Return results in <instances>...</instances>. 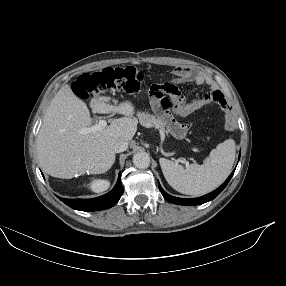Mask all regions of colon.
<instances>
[{
    "label": "colon",
    "instance_id": "1",
    "mask_svg": "<svg viewBox=\"0 0 286 286\" xmlns=\"http://www.w3.org/2000/svg\"><path fill=\"white\" fill-rule=\"evenodd\" d=\"M143 76L134 67H107L100 71L79 75L74 83V92L82 99L109 92L136 93L142 84ZM178 93L172 84H156L147 94L151 102L152 112L157 116L162 128L172 132L179 140H184L191 131L188 123L179 124L170 115V100Z\"/></svg>",
    "mask_w": 286,
    "mask_h": 286
}]
</instances>
